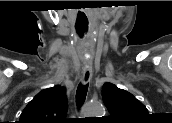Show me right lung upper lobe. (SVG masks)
<instances>
[{"instance_id":"right-lung-upper-lobe-1","label":"right lung upper lobe","mask_w":172,"mask_h":123,"mask_svg":"<svg viewBox=\"0 0 172 123\" xmlns=\"http://www.w3.org/2000/svg\"><path fill=\"white\" fill-rule=\"evenodd\" d=\"M67 99L65 89L59 86L40 91L20 115L21 123H64Z\"/></svg>"}]
</instances>
